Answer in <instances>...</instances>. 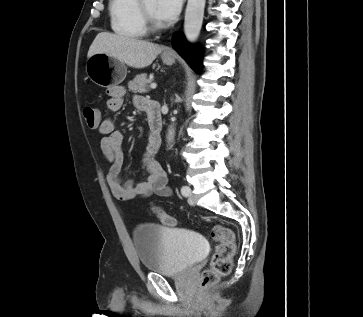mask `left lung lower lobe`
<instances>
[{"instance_id": "0a47b994", "label": "left lung lower lobe", "mask_w": 363, "mask_h": 317, "mask_svg": "<svg viewBox=\"0 0 363 317\" xmlns=\"http://www.w3.org/2000/svg\"><path fill=\"white\" fill-rule=\"evenodd\" d=\"M173 48L190 64L196 71H200L201 57L196 47L189 45L183 35H175L172 39Z\"/></svg>"}]
</instances>
